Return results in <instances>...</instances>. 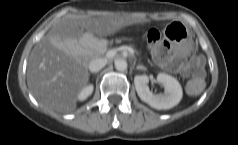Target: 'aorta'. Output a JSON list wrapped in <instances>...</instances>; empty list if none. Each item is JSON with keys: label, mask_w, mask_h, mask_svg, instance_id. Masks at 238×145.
Listing matches in <instances>:
<instances>
[{"label": "aorta", "mask_w": 238, "mask_h": 145, "mask_svg": "<svg viewBox=\"0 0 238 145\" xmlns=\"http://www.w3.org/2000/svg\"><path fill=\"white\" fill-rule=\"evenodd\" d=\"M115 68L118 71H125L127 69V62L124 59H118L115 61Z\"/></svg>", "instance_id": "762f6f07"}]
</instances>
